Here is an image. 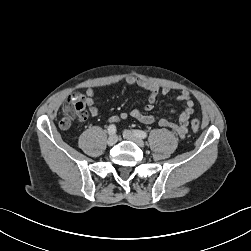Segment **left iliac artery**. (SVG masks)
<instances>
[{
    "label": "left iliac artery",
    "instance_id": "1",
    "mask_svg": "<svg viewBox=\"0 0 251 251\" xmlns=\"http://www.w3.org/2000/svg\"><path fill=\"white\" fill-rule=\"evenodd\" d=\"M134 133H135L138 137H140V138H142V139H144V138L147 137V133H146L145 131H142V130H134Z\"/></svg>",
    "mask_w": 251,
    "mask_h": 251
}]
</instances>
